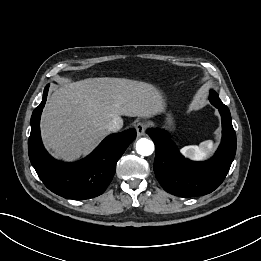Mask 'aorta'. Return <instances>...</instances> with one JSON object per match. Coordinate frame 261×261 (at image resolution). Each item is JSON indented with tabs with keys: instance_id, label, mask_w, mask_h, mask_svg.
<instances>
[{
	"instance_id": "obj_1",
	"label": "aorta",
	"mask_w": 261,
	"mask_h": 261,
	"mask_svg": "<svg viewBox=\"0 0 261 261\" xmlns=\"http://www.w3.org/2000/svg\"><path fill=\"white\" fill-rule=\"evenodd\" d=\"M136 151L142 156H149L154 151V143L147 138H141L136 143Z\"/></svg>"
}]
</instances>
